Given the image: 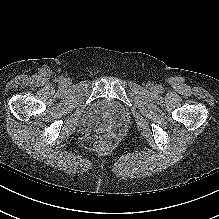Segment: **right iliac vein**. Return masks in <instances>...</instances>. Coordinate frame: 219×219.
Listing matches in <instances>:
<instances>
[{
    "instance_id": "1",
    "label": "right iliac vein",
    "mask_w": 219,
    "mask_h": 219,
    "mask_svg": "<svg viewBox=\"0 0 219 219\" xmlns=\"http://www.w3.org/2000/svg\"><path fill=\"white\" fill-rule=\"evenodd\" d=\"M61 84H62V85H67V84H68V81H67L66 79H62Z\"/></svg>"
}]
</instances>
